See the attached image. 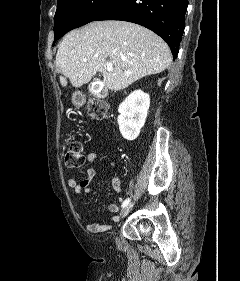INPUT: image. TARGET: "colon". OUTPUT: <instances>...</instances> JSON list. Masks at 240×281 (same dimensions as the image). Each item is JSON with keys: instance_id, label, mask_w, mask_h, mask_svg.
Instances as JSON below:
<instances>
[{"instance_id": "obj_1", "label": "colon", "mask_w": 240, "mask_h": 281, "mask_svg": "<svg viewBox=\"0 0 240 281\" xmlns=\"http://www.w3.org/2000/svg\"><path fill=\"white\" fill-rule=\"evenodd\" d=\"M88 115L95 119H102L107 112V104L102 100H93L87 105ZM86 160L83 145L79 141H72L65 152L64 163L67 168H80Z\"/></svg>"}]
</instances>
